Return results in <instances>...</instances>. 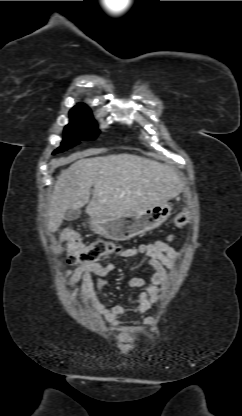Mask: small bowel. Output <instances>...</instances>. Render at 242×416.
I'll use <instances>...</instances> for the list:
<instances>
[{"label":"small bowel","instance_id":"small-bowel-1","mask_svg":"<svg viewBox=\"0 0 242 416\" xmlns=\"http://www.w3.org/2000/svg\"><path fill=\"white\" fill-rule=\"evenodd\" d=\"M175 238V235L171 234L165 240L142 244L135 249L120 250L115 255L114 259L132 257L137 254H145L148 258L147 264L153 272L150 283L148 284L145 279L140 277H133L129 280L130 287L144 288L136 305L137 313H146L158 301L160 292L167 285L168 273L173 271L180 261L182 250L173 249L168 245V242L175 240ZM115 269L114 261L106 264L79 265L67 270L62 278L66 282L67 289L80 283L84 303L94 307L104 317L108 325L118 331V339L121 342H130L134 340L138 332L127 329L119 320L125 313V308L120 305L107 308L99 300V294L104 288L102 278L114 272ZM145 322L148 323L149 320L146 318Z\"/></svg>","mask_w":242,"mask_h":416}]
</instances>
